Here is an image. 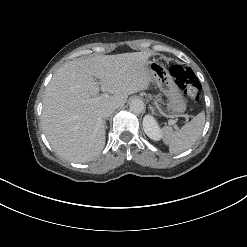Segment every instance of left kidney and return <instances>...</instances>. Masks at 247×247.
I'll list each match as a JSON object with an SVG mask.
<instances>
[{"mask_svg": "<svg viewBox=\"0 0 247 247\" xmlns=\"http://www.w3.org/2000/svg\"><path fill=\"white\" fill-rule=\"evenodd\" d=\"M143 129L146 135L154 141H158L162 137L161 130L156 120L151 115H146L144 117Z\"/></svg>", "mask_w": 247, "mask_h": 247, "instance_id": "5707ae66", "label": "left kidney"}]
</instances>
